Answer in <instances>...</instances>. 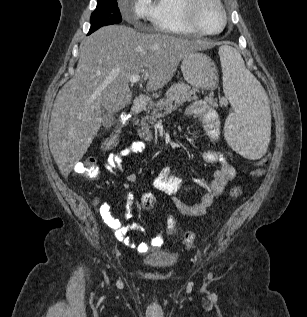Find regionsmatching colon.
<instances>
[{
  "mask_svg": "<svg viewBox=\"0 0 307 317\" xmlns=\"http://www.w3.org/2000/svg\"><path fill=\"white\" fill-rule=\"evenodd\" d=\"M128 121L125 117H122L116 126V128L113 130V132L109 135V137L102 143L101 145V151L104 153H110L118 144L119 139L121 137L122 130L127 126ZM268 165V158L264 157L260 159L255 168L252 171V174L255 177H259L263 175L266 166ZM74 173L77 175H80L88 180H93L97 176V167H96V161L94 158H88L81 162H79L75 169ZM242 195V187L241 186H234L230 190V197L232 199H238ZM156 203V199L152 193L145 192L141 196V205L142 208L150 212L154 208ZM167 231L170 234H173L177 231V223L176 220L173 217H169L167 219ZM183 241L186 245L190 246L193 244L195 240V236L192 232L186 231L182 235Z\"/></svg>",
  "mask_w": 307,
  "mask_h": 317,
  "instance_id": "colon-1",
  "label": "colon"
}]
</instances>
